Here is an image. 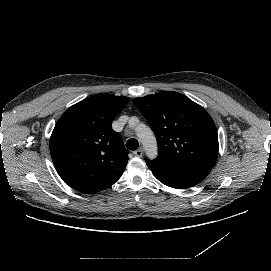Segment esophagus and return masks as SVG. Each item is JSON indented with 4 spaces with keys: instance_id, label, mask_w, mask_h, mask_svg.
<instances>
[{
    "instance_id": "esophagus-1",
    "label": "esophagus",
    "mask_w": 271,
    "mask_h": 271,
    "mask_svg": "<svg viewBox=\"0 0 271 271\" xmlns=\"http://www.w3.org/2000/svg\"><path fill=\"white\" fill-rule=\"evenodd\" d=\"M144 150L143 148H139L133 152L134 156L140 158L143 156Z\"/></svg>"
}]
</instances>
